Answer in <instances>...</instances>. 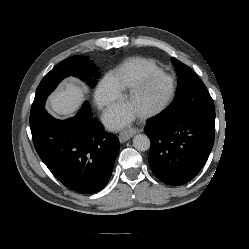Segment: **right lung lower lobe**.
<instances>
[{
    "instance_id": "1",
    "label": "right lung lower lobe",
    "mask_w": 249,
    "mask_h": 249,
    "mask_svg": "<svg viewBox=\"0 0 249 249\" xmlns=\"http://www.w3.org/2000/svg\"><path fill=\"white\" fill-rule=\"evenodd\" d=\"M37 153L66 187L91 194L108 183L119 152V140L104 132L85 102L72 118L57 120L45 109L30 122Z\"/></svg>"
}]
</instances>
